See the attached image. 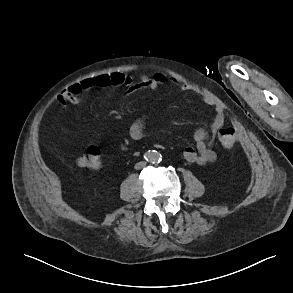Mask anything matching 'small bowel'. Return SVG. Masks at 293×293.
<instances>
[{
	"label": "small bowel",
	"instance_id": "c3829d8e",
	"mask_svg": "<svg viewBox=\"0 0 293 293\" xmlns=\"http://www.w3.org/2000/svg\"><path fill=\"white\" fill-rule=\"evenodd\" d=\"M166 79L162 73H155L152 77L142 76L138 83L122 72H109L98 74L93 77H87L77 83L70 85L61 92L58 97V103L66 106L68 103L79 105L84 100V93L92 89H105L109 87H126L134 89L137 87H146L156 90L158 85ZM170 81L182 91H190L191 88L180 81L171 78ZM225 123V116L220 108L215 109V116L211 124L210 132L199 129L194 133V146H188L183 152L185 160L194 164H208L216 160V152L211 148L213 134ZM145 120L137 119L130 126V135L133 139L139 140L145 135Z\"/></svg>",
	"mask_w": 293,
	"mask_h": 293
}]
</instances>
